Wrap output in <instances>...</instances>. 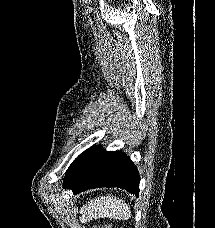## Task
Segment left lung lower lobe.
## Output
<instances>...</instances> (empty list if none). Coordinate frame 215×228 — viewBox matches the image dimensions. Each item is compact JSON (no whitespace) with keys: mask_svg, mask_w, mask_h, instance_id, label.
<instances>
[{"mask_svg":"<svg viewBox=\"0 0 215 228\" xmlns=\"http://www.w3.org/2000/svg\"><path fill=\"white\" fill-rule=\"evenodd\" d=\"M97 187H120L138 196L139 173L126 154L94 146L70 165L63 188L78 194Z\"/></svg>","mask_w":215,"mask_h":228,"instance_id":"1","label":"left lung lower lobe"}]
</instances>
